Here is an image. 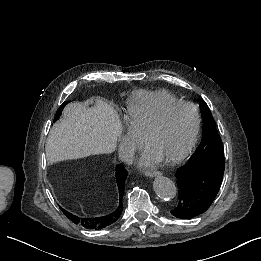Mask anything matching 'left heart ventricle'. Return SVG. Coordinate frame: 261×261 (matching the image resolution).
Masks as SVG:
<instances>
[{
    "label": "left heart ventricle",
    "mask_w": 261,
    "mask_h": 261,
    "mask_svg": "<svg viewBox=\"0 0 261 261\" xmlns=\"http://www.w3.org/2000/svg\"><path fill=\"white\" fill-rule=\"evenodd\" d=\"M193 125L192 112L175 107L164 112L158 119L142 125L138 136L158 158H166L184 146Z\"/></svg>",
    "instance_id": "left-heart-ventricle-1"
}]
</instances>
